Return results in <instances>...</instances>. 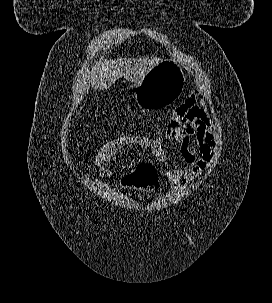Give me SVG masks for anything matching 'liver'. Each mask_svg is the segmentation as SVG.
Segmentation results:
<instances>
[{"label": "liver", "mask_w": 272, "mask_h": 303, "mask_svg": "<svg viewBox=\"0 0 272 303\" xmlns=\"http://www.w3.org/2000/svg\"><path fill=\"white\" fill-rule=\"evenodd\" d=\"M161 61L162 59L156 56L139 59H100L92 67L90 81L97 90L108 89L122 77L131 83H138Z\"/></svg>", "instance_id": "liver-1"}]
</instances>
